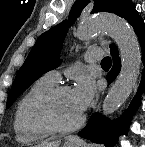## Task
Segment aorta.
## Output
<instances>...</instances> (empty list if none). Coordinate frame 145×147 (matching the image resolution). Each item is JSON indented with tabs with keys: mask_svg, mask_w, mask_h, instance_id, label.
<instances>
[{
	"mask_svg": "<svg viewBox=\"0 0 145 147\" xmlns=\"http://www.w3.org/2000/svg\"><path fill=\"white\" fill-rule=\"evenodd\" d=\"M103 31L114 39L122 59L120 75L102 105L103 115L108 116L114 113L131 94L140 72L141 51L133 28L126 20L116 15L102 14L83 21L78 26L77 35L80 39L86 40Z\"/></svg>",
	"mask_w": 145,
	"mask_h": 147,
	"instance_id": "obj_1",
	"label": "aorta"
}]
</instances>
